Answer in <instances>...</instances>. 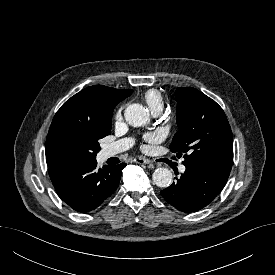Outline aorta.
<instances>
[{
	"label": "aorta",
	"mask_w": 275,
	"mask_h": 275,
	"mask_svg": "<svg viewBox=\"0 0 275 275\" xmlns=\"http://www.w3.org/2000/svg\"><path fill=\"white\" fill-rule=\"evenodd\" d=\"M124 117L129 125L139 127L149 122V111L143 105L134 103L127 106ZM172 178V172L168 168H158L152 175L155 185L160 188L168 187Z\"/></svg>",
	"instance_id": "aorta-1"
}]
</instances>
